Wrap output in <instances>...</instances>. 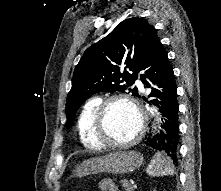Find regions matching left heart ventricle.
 I'll use <instances>...</instances> for the list:
<instances>
[{
  "instance_id": "1",
  "label": "left heart ventricle",
  "mask_w": 221,
  "mask_h": 191,
  "mask_svg": "<svg viewBox=\"0 0 221 191\" xmlns=\"http://www.w3.org/2000/svg\"><path fill=\"white\" fill-rule=\"evenodd\" d=\"M140 119L136 110L126 102L110 105L107 114L108 136L112 141L123 142L131 139L138 131Z\"/></svg>"
}]
</instances>
